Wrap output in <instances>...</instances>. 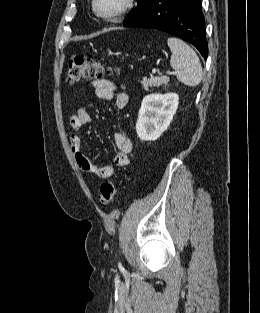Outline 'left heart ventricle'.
Masks as SVG:
<instances>
[{
	"label": "left heart ventricle",
	"mask_w": 260,
	"mask_h": 313,
	"mask_svg": "<svg viewBox=\"0 0 260 313\" xmlns=\"http://www.w3.org/2000/svg\"><path fill=\"white\" fill-rule=\"evenodd\" d=\"M124 0H97V8L101 13H113L117 11Z\"/></svg>",
	"instance_id": "1"
}]
</instances>
